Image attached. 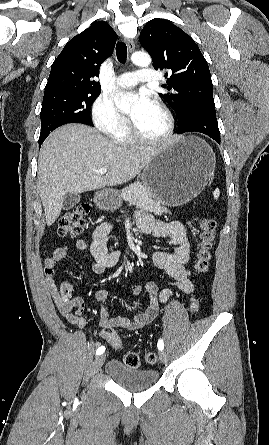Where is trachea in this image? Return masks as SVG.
<instances>
[{
	"mask_svg": "<svg viewBox=\"0 0 269 445\" xmlns=\"http://www.w3.org/2000/svg\"><path fill=\"white\" fill-rule=\"evenodd\" d=\"M116 55L120 63H125L127 59V46L124 42H118L116 45Z\"/></svg>",
	"mask_w": 269,
	"mask_h": 445,
	"instance_id": "1",
	"label": "trachea"
}]
</instances>
